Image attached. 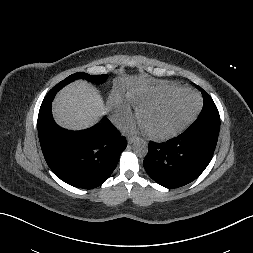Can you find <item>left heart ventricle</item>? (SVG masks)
Here are the masks:
<instances>
[{
	"instance_id": "left-heart-ventricle-1",
	"label": "left heart ventricle",
	"mask_w": 253,
	"mask_h": 253,
	"mask_svg": "<svg viewBox=\"0 0 253 253\" xmlns=\"http://www.w3.org/2000/svg\"><path fill=\"white\" fill-rule=\"evenodd\" d=\"M196 103L191 94H180L168 103L147 111L141 122L146 129L154 133H166L179 125L192 111Z\"/></svg>"
}]
</instances>
